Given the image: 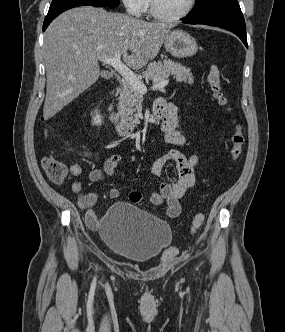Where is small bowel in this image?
<instances>
[{"label":"small bowel","instance_id":"obj_1","mask_svg":"<svg viewBox=\"0 0 285 332\" xmlns=\"http://www.w3.org/2000/svg\"><path fill=\"white\" fill-rule=\"evenodd\" d=\"M168 110L162 120V131L165 141L176 147H181L185 143V137L178 130V120L173 105L168 104ZM121 160L119 154H113L108 157L102 168H96L90 171L89 180L91 182H102L105 178L112 176ZM198 158L195 155L186 156L178 148H173L165 154L158 157L151 165V173L161 177L167 164L172 163L175 167L177 180L168 182L163 180L157 190H154L149 197V201L154 206L166 204L167 215L170 218L177 217L181 212L179 200L195 185V166ZM70 173L74 177L71 188L78 194L77 205L85 211L86 224L91 229L99 226L100 217L93 210L96 196L93 193L85 194L83 190V181L79 178L82 174V168L78 164L70 166ZM112 199L120 197V191L112 188L109 192ZM129 200L138 204L142 201V195L139 191H132L129 194Z\"/></svg>","mask_w":285,"mask_h":332}]
</instances>
